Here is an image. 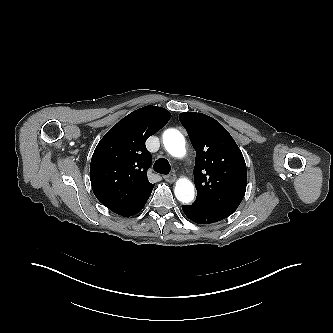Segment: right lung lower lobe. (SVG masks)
<instances>
[{"label": "right lung lower lobe", "instance_id": "right-lung-lower-lobe-1", "mask_svg": "<svg viewBox=\"0 0 333 333\" xmlns=\"http://www.w3.org/2000/svg\"><path fill=\"white\" fill-rule=\"evenodd\" d=\"M143 207H144V206H143ZM143 207H142V208H143ZM142 208H141V209H142ZM141 209H140V210H141ZM140 210H139V211H140ZM139 211H138V212H139ZM138 212H136V213H138ZM136 213H135V214H136Z\"/></svg>", "mask_w": 333, "mask_h": 333}]
</instances>
